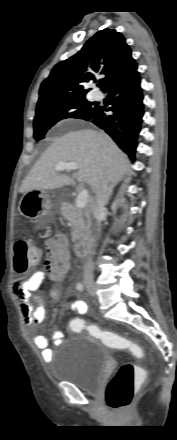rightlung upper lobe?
<instances>
[{"label":"right lung upper lobe","mask_w":177,"mask_h":440,"mask_svg":"<svg viewBox=\"0 0 177 440\" xmlns=\"http://www.w3.org/2000/svg\"><path fill=\"white\" fill-rule=\"evenodd\" d=\"M135 66L124 36L106 28L90 38L78 53L52 69L41 84L37 107L66 97L85 95L84 85L95 82L98 75L104 76L97 84L104 91Z\"/></svg>","instance_id":"1"}]
</instances>
